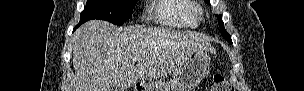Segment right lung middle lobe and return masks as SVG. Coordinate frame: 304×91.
<instances>
[{
	"label": "right lung middle lobe",
	"instance_id": "dd1d6c3e",
	"mask_svg": "<svg viewBox=\"0 0 304 91\" xmlns=\"http://www.w3.org/2000/svg\"><path fill=\"white\" fill-rule=\"evenodd\" d=\"M136 2L137 0H87L80 22L100 19L122 25L131 18Z\"/></svg>",
	"mask_w": 304,
	"mask_h": 91
}]
</instances>
